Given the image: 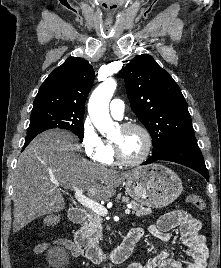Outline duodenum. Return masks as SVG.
Wrapping results in <instances>:
<instances>
[{
	"instance_id": "duodenum-1",
	"label": "duodenum",
	"mask_w": 221,
	"mask_h": 268,
	"mask_svg": "<svg viewBox=\"0 0 221 268\" xmlns=\"http://www.w3.org/2000/svg\"><path fill=\"white\" fill-rule=\"evenodd\" d=\"M87 216V211L81 208L72 209L69 214L71 221L76 224L84 223ZM139 239L140 234L135 229H131L118 247L105 251L92 244L81 230H77L74 233V245L78 253L94 263L110 261L114 264H120L124 262L132 254Z\"/></svg>"
}]
</instances>
